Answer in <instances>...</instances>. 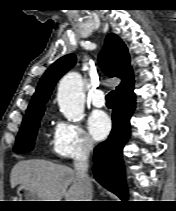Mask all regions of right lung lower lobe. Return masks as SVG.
<instances>
[{"mask_svg": "<svg viewBox=\"0 0 176 211\" xmlns=\"http://www.w3.org/2000/svg\"><path fill=\"white\" fill-rule=\"evenodd\" d=\"M135 109V94L132 91L115 96L113 106V128L108 139L94 149L93 172L95 179L105 188L119 196L128 198L124 183L122 149L130 137V117Z\"/></svg>", "mask_w": 176, "mask_h": 211, "instance_id": "obj_1", "label": "right lung lower lobe"}]
</instances>
